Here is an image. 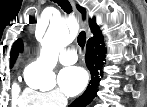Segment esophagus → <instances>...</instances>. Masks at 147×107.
Listing matches in <instances>:
<instances>
[{"mask_svg": "<svg viewBox=\"0 0 147 107\" xmlns=\"http://www.w3.org/2000/svg\"><path fill=\"white\" fill-rule=\"evenodd\" d=\"M69 1H70L71 5L73 7L74 12L76 13L77 18L79 20H81L84 29H87V22H86V20H82L81 14L78 12V10L75 6V2L73 0H69Z\"/></svg>", "mask_w": 147, "mask_h": 107, "instance_id": "esophagus-1", "label": "esophagus"}]
</instances>
